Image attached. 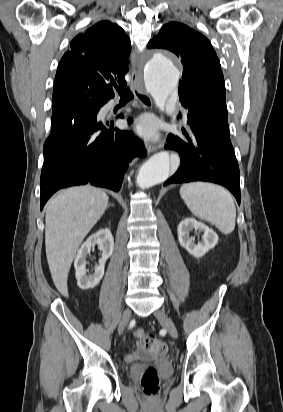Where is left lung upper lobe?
I'll use <instances>...</instances> for the list:
<instances>
[{
  "label": "left lung upper lobe",
  "instance_id": "5c2ea615",
  "mask_svg": "<svg viewBox=\"0 0 283 412\" xmlns=\"http://www.w3.org/2000/svg\"><path fill=\"white\" fill-rule=\"evenodd\" d=\"M147 47L167 49L181 58L178 92L188 112L214 129L229 130L223 73L208 39L182 23L171 22Z\"/></svg>",
  "mask_w": 283,
  "mask_h": 412
}]
</instances>
